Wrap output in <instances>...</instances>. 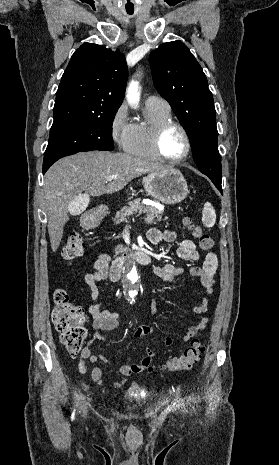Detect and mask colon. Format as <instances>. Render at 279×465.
I'll return each mask as SVG.
<instances>
[{"label":"colon","mask_w":279,"mask_h":465,"mask_svg":"<svg viewBox=\"0 0 279 465\" xmlns=\"http://www.w3.org/2000/svg\"><path fill=\"white\" fill-rule=\"evenodd\" d=\"M185 227L198 240L202 250L208 251L213 247V240L205 234L201 227L196 225L189 217L183 220ZM85 243L79 234H71L63 249L62 257L66 261H73L84 254ZM86 316L84 310L73 304L69 300L68 294L64 290H57L54 293V308L52 311V324L60 332V339L68 352L77 354L82 349L86 338V328L84 326ZM204 352V345L200 338H195L191 346L178 357L167 361L165 368L169 371H183L191 369L201 358ZM155 370L151 367L150 371Z\"/></svg>","instance_id":"1"}]
</instances>
